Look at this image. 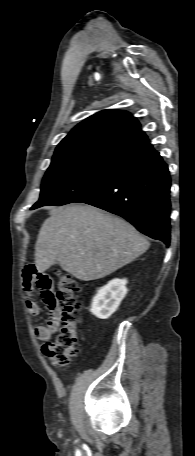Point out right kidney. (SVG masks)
<instances>
[{
	"instance_id": "obj_1",
	"label": "right kidney",
	"mask_w": 195,
	"mask_h": 456,
	"mask_svg": "<svg viewBox=\"0 0 195 456\" xmlns=\"http://www.w3.org/2000/svg\"><path fill=\"white\" fill-rule=\"evenodd\" d=\"M126 279H113L97 291L92 300L91 313L100 319L109 318L127 294Z\"/></svg>"
}]
</instances>
